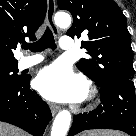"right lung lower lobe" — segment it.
Listing matches in <instances>:
<instances>
[{
	"instance_id": "obj_1",
	"label": "right lung lower lobe",
	"mask_w": 136,
	"mask_h": 136,
	"mask_svg": "<svg viewBox=\"0 0 136 136\" xmlns=\"http://www.w3.org/2000/svg\"><path fill=\"white\" fill-rule=\"evenodd\" d=\"M30 79L31 76H22L11 86H0V121L42 136L52 115L46 102L29 88Z\"/></svg>"
}]
</instances>
